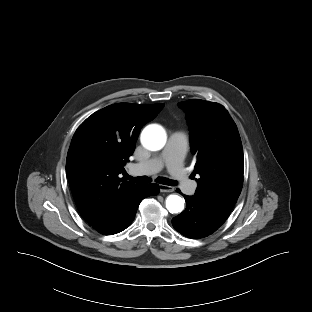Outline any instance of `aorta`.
Here are the masks:
<instances>
[{
    "instance_id": "obj_1",
    "label": "aorta",
    "mask_w": 312,
    "mask_h": 312,
    "mask_svg": "<svg viewBox=\"0 0 312 312\" xmlns=\"http://www.w3.org/2000/svg\"><path fill=\"white\" fill-rule=\"evenodd\" d=\"M141 143L149 151L161 150L166 143V133L158 125L147 126L141 134ZM167 210L174 214L184 209V200L178 195H169L166 199Z\"/></svg>"
}]
</instances>
